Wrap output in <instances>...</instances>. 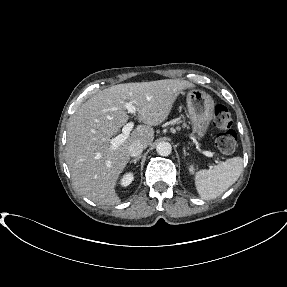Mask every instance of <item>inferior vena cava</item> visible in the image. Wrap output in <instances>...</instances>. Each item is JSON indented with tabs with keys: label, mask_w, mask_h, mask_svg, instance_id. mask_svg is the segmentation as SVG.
Segmentation results:
<instances>
[{
	"label": "inferior vena cava",
	"mask_w": 287,
	"mask_h": 287,
	"mask_svg": "<svg viewBox=\"0 0 287 287\" xmlns=\"http://www.w3.org/2000/svg\"><path fill=\"white\" fill-rule=\"evenodd\" d=\"M145 146L140 142L132 143L129 147V155L131 157H138L141 155Z\"/></svg>",
	"instance_id": "inferior-vena-cava-1"
}]
</instances>
